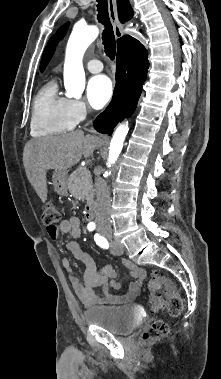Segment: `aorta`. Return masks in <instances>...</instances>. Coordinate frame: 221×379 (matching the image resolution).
<instances>
[{
    "label": "aorta",
    "mask_w": 221,
    "mask_h": 379,
    "mask_svg": "<svg viewBox=\"0 0 221 379\" xmlns=\"http://www.w3.org/2000/svg\"><path fill=\"white\" fill-rule=\"evenodd\" d=\"M98 34L99 30L96 26L76 25L69 37L64 63V86L67 97L80 98L84 91L83 55ZM128 130V122L122 123L116 128L110 142L108 167L116 162L121 153Z\"/></svg>",
    "instance_id": "aorta-1"
}]
</instances>
